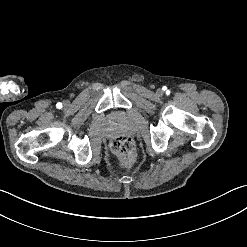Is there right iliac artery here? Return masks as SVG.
<instances>
[{
  "label": "right iliac artery",
  "mask_w": 247,
  "mask_h": 247,
  "mask_svg": "<svg viewBox=\"0 0 247 247\" xmlns=\"http://www.w3.org/2000/svg\"><path fill=\"white\" fill-rule=\"evenodd\" d=\"M56 106H57V108L60 109V108H62V103L59 102V103L56 104Z\"/></svg>",
  "instance_id": "obj_1"
}]
</instances>
